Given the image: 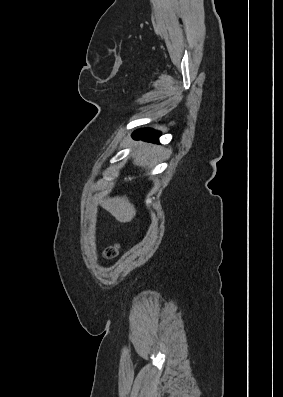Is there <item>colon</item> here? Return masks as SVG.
<instances>
[{
    "mask_svg": "<svg viewBox=\"0 0 283 397\" xmlns=\"http://www.w3.org/2000/svg\"><path fill=\"white\" fill-rule=\"evenodd\" d=\"M118 253V248L116 246H109L104 251V256L108 259L114 258Z\"/></svg>",
    "mask_w": 283,
    "mask_h": 397,
    "instance_id": "5ec220e1",
    "label": "colon"
}]
</instances>
